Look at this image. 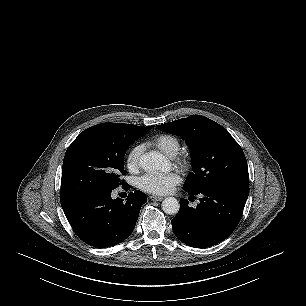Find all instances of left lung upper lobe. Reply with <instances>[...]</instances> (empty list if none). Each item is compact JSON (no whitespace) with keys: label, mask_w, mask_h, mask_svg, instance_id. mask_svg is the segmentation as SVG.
Here are the masks:
<instances>
[{"label":"left lung upper lobe","mask_w":306,"mask_h":306,"mask_svg":"<svg viewBox=\"0 0 306 306\" xmlns=\"http://www.w3.org/2000/svg\"><path fill=\"white\" fill-rule=\"evenodd\" d=\"M157 128L180 136L190 148L193 172L184 183V191L198 192L219 185L249 188L243 150L218 123L201 115H191Z\"/></svg>","instance_id":"obj_1"}]
</instances>
